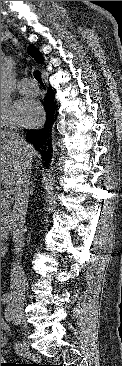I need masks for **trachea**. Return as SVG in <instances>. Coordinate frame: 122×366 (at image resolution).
<instances>
[{"instance_id": "obj_1", "label": "trachea", "mask_w": 122, "mask_h": 366, "mask_svg": "<svg viewBox=\"0 0 122 366\" xmlns=\"http://www.w3.org/2000/svg\"><path fill=\"white\" fill-rule=\"evenodd\" d=\"M35 79L37 80V82L42 86L45 87L43 81H42V77H41V72L36 71L34 74Z\"/></svg>"}]
</instances>
